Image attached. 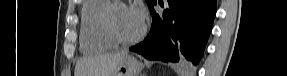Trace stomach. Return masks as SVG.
I'll list each match as a JSON object with an SVG mask.
<instances>
[{
	"label": "stomach",
	"instance_id": "obj_1",
	"mask_svg": "<svg viewBox=\"0 0 287 76\" xmlns=\"http://www.w3.org/2000/svg\"><path fill=\"white\" fill-rule=\"evenodd\" d=\"M143 65L134 57L126 55L120 61L116 71L112 76H138Z\"/></svg>",
	"mask_w": 287,
	"mask_h": 76
}]
</instances>
